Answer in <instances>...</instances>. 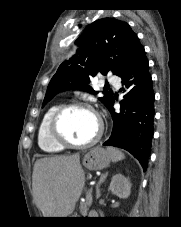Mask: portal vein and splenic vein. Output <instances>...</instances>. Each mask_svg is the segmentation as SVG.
<instances>
[{"mask_svg":"<svg viewBox=\"0 0 181 227\" xmlns=\"http://www.w3.org/2000/svg\"><path fill=\"white\" fill-rule=\"evenodd\" d=\"M87 199L89 200L90 204L92 203V190H88L87 192Z\"/></svg>","mask_w":181,"mask_h":227,"instance_id":"portal-vein-and-splenic-vein-1","label":"portal vein and splenic vein"}]
</instances>
